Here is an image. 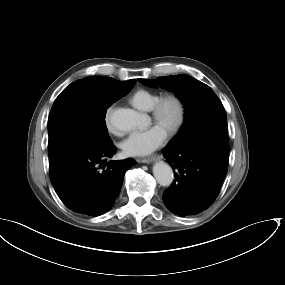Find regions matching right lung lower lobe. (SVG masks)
<instances>
[{"label": "right lung lower lobe", "mask_w": 285, "mask_h": 285, "mask_svg": "<svg viewBox=\"0 0 285 285\" xmlns=\"http://www.w3.org/2000/svg\"><path fill=\"white\" fill-rule=\"evenodd\" d=\"M117 149L83 146L68 150L50 161V180L64 205L75 213L99 216L109 211L119 195L133 159L109 161Z\"/></svg>", "instance_id": "obj_1"}]
</instances>
